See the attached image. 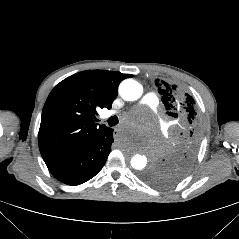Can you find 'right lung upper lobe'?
<instances>
[{"label": "right lung upper lobe", "mask_w": 239, "mask_h": 239, "mask_svg": "<svg viewBox=\"0 0 239 239\" xmlns=\"http://www.w3.org/2000/svg\"><path fill=\"white\" fill-rule=\"evenodd\" d=\"M131 74L87 70L57 84L49 94L41 117L38 143L45 162L79 149L108 127L96 126L98 108H111L118 85Z\"/></svg>", "instance_id": "right-lung-upper-lobe-1"}]
</instances>
